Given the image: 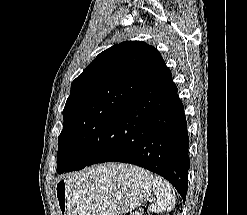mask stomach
Segmentation results:
<instances>
[{"mask_svg":"<svg viewBox=\"0 0 247 215\" xmlns=\"http://www.w3.org/2000/svg\"><path fill=\"white\" fill-rule=\"evenodd\" d=\"M104 166L56 181L54 193L60 215H119L134 210L150 197L149 172L129 165L121 169L115 164L117 168L107 173Z\"/></svg>","mask_w":247,"mask_h":215,"instance_id":"obj_1","label":"stomach"}]
</instances>
